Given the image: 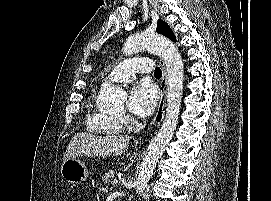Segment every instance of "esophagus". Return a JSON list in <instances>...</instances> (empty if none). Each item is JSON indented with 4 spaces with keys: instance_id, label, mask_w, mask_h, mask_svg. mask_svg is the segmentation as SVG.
Returning a JSON list of instances; mask_svg holds the SVG:
<instances>
[{
    "instance_id": "1",
    "label": "esophagus",
    "mask_w": 271,
    "mask_h": 201,
    "mask_svg": "<svg viewBox=\"0 0 271 201\" xmlns=\"http://www.w3.org/2000/svg\"><path fill=\"white\" fill-rule=\"evenodd\" d=\"M160 64L162 67V77L160 80V99L158 103L157 112L153 119V125L155 127H159L161 122L163 121L165 115V108H166V85H167V72H166V65L163 60H160ZM146 140V137H145ZM140 142H144V138L140 140Z\"/></svg>"
}]
</instances>
